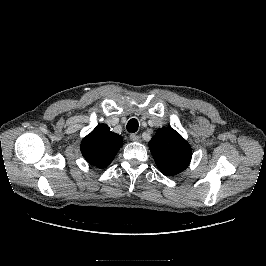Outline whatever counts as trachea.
Listing matches in <instances>:
<instances>
[{"mask_svg":"<svg viewBox=\"0 0 266 266\" xmlns=\"http://www.w3.org/2000/svg\"><path fill=\"white\" fill-rule=\"evenodd\" d=\"M138 127H139V124L135 118L130 119L127 123V131L128 132L135 133L138 130Z\"/></svg>","mask_w":266,"mask_h":266,"instance_id":"obj_1","label":"trachea"}]
</instances>
